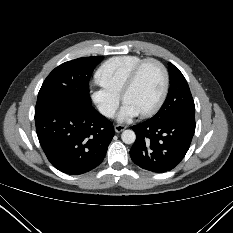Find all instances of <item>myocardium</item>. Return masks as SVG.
Returning a JSON list of instances; mask_svg holds the SVG:
<instances>
[{
	"label": "myocardium",
	"instance_id": "f54148a6",
	"mask_svg": "<svg viewBox=\"0 0 233 233\" xmlns=\"http://www.w3.org/2000/svg\"><path fill=\"white\" fill-rule=\"evenodd\" d=\"M148 63H155L160 68L162 75H163V88H162V92L156 104L152 108L140 113V115L143 117H149V116L156 114L161 109V107L163 106L166 100L168 90H169L170 78H169L168 70L165 67V65L161 61L155 58L143 59L133 68V70L129 74L121 91V98L125 102L126 94L134 87L141 70Z\"/></svg>",
	"mask_w": 233,
	"mask_h": 233
}]
</instances>
